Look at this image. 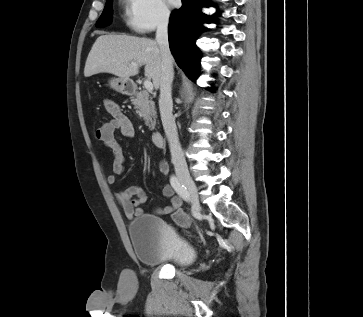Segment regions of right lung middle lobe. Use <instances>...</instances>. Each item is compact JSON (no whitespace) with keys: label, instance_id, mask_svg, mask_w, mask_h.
<instances>
[{"label":"right lung middle lobe","instance_id":"obj_1","mask_svg":"<svg viewBox=\"0 0 363 317\" xmlns=\"http://www.w3.org/2000/svg\"><path fill=\"white\" fill-rule=\"evenodd\" d=\"M112 0H107L103 13L98 19L96 25L98 27H103L108 25L111 22L112 8H111Z\"/></svg>","mask_w":363,"mask_h":317}]
</instances>
